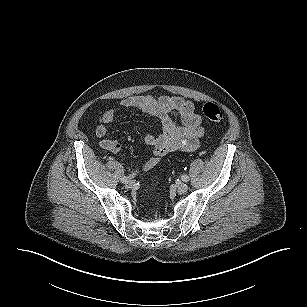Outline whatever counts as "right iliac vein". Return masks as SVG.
<instances>
[{"instance_id":"1","label":"right iliac vein","mask_w":307,"mask_h":307,"mask_svg":"<svg viewBox=\"0 0 307 307\" xmlns=\"http://www.w3.org/2000/svg\"><path fill=\"white\" fill-rule=\"evenodd\" d=\"M134 185H135V183H134L133 181H129V182L126 183L125 187H126L127 189H130V188H133Z\"/></svg>"}]
</instances>
